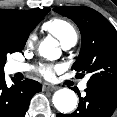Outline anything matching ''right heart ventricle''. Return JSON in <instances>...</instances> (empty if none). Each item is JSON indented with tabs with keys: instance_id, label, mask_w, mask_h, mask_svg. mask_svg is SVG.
<instances>
[{
	"instance_id": "obj_1",
	"label": "right heart ventricle",
	"mask_w": 117,
	"mask_h": 117,
	"mask_svg": "<svg viewBox=\"0 0 117 117\" xmlns=\"http://www.w3.org/2000/svg\"><path fill=\"white\" fill-rule=\"evenodd\" d=\"M44 28L58 38L62 43L77 38V32L70 22L61 18L51 19L44 24Z\"/></svg>"
}]
</instances>
